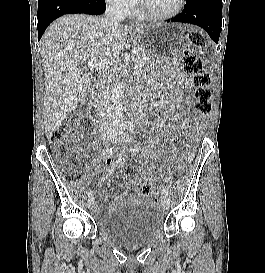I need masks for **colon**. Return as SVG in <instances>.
Returning <instances> with one entry per match:
<instances>
[{
    "mask_svg": "<svg viewBox=\"0 0 265 273\" xmlns=\"http://www.w3.org/2000/svg\"><path fill=\"white\" fill-rule=\"evenodd\" d=\"M205 49V41L203 36L197 32L192 31L188 34L187 47L182 51V62L185 72L193 75L194 85L196 87L195 97L196 105L195 110L197 113L206 115L212 110L211 104V78L207 72L204 71L203 62L201 60V53ZM157 120V115L150 114L147 117V123H153ZM87 126L90 125L89 121H85ZM67 133V127L65 125L59 126L50 135V141L52 144L58 147L60 155L65 156L68 152V147L65 142V135ZM66 165L70 169L75 170L77 166V155L72 154L66 160ZM127 176H134L136 169L133 166H127L125 168ZM143 191L151 196L157 195V190L154 185L148 181L143 186Z\"/></svg>",
    "mask_w": 265,
    "mask_h": 273,
    "instance_id": "obj_1",
    "label": "colon"
}]
</instances>
